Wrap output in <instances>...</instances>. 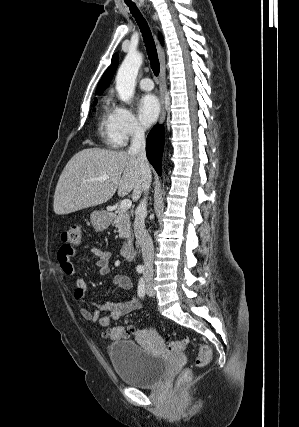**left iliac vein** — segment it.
Here are the masks:
<instances>
[{
  "mask_svg": "<svg viewBox=\"0 0 299 427\" xmlns=\"http://www.w3.org/2000/svg\"><path fill=\"white\" fill-rule=\"evenodd\" d=\"M145 291L146 294L150 297L154 295L153 283L151 280L146 281Z\"/></svg>",
  "mask_w": 299,
  "mask_h": 427,
  "instance_id": "obj_1",
  "label": "left iliac vein"
}]
</instances>
